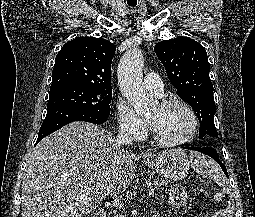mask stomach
<instances>
[{"instance_id": "obj_1", "label": "stomach", "mask_w": 255, "mask_h": 217, "mask_svg": "<svg viewBox=\"0 0 255 217\" xmlns=\"http://www.w3.org/2000/svg\"><path fill=\"white\" fill-rule=\"evenodd\" d=\"M144 164L167 180H182L189 171L190 161L184 150L168 149L143 159Z\"/></svg>"}]
</instances>
